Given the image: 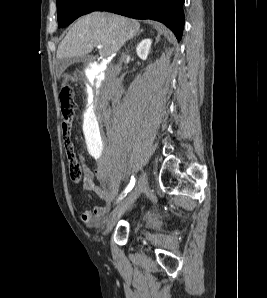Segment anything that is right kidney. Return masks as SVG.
<instances>
[{"mask_svg":"<svg viewBox=\"0 0 267 298\" xmlns=\"http://www.w3.org/2000/svg\"><path fill=\"white\" fill-rule=\"evenodd\" d=\"M151 44H152L151 39H144L138 44L136 48V52L140 59L142 60L147 59Z\"/></svg>","mask_w":267,"mask_h":298,"instance_id":"ca27d5eb","label":"right kidney"}]
</instances>
